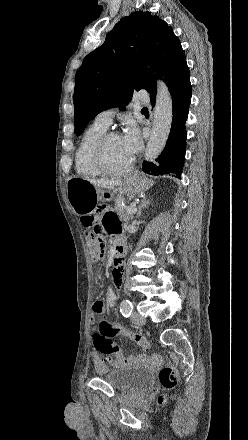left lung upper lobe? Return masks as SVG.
I'll return each mask as SVG.
<instances>
[{"label":"left lung upper lobe","mask_w":248,"mask_h":440,"mask_svg":"<svg viewBox=\"0 0 248 440\" xmlns=\"http://www.w3.org/2000/svg\"><path fill=\"white\" fill-rule=\"evenodd\" d=\"M150 65L154 74L145 68ZM169 90L190 78L184 51L171 27L150 12L122 18L105 42L83 60L75 77L74 133L80 135L100 112L130 101L133 91L145 89L156 99V78Z\"/></svg>","instance_id":"obj_1"}]
</instances>
